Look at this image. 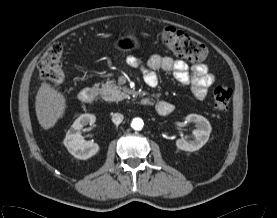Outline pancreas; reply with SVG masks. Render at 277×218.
I'll return each instance as SVG.
<instances>
[{
	"instance_id": "pancreas-1",
	"label": "pancreas",
	"mask_w": 277,
	"mask_h": 218,
	"mask_svg": "<svg viewBox=\"0 0 277 218\" xmlns=\"http://www.w3.org/2000/svg\"><path fill=\"white\" fill-rule=\"evenodd\" d=\"M94 88L98 89L102 99L105 101H121L129 96V89L126 87H121L115 84L114 81H107L101 85L95 84Z\"/></svg>"
}]
</instances>
